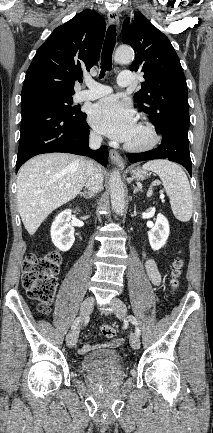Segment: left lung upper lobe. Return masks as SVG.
Instances as JSON below:
<instances>
[{
    "label": "left lung upper lobe",
    "instance_id": "left-lung-upper-lobe-1",
    "mask_svg": "<svg viewBox=\"0 0 213 433\" xmlns=\"http://www.w3.org/2000/svg\"><path fill=\"white\" fill-rule=\"evenodd\" d=\"M122 41L135 51L130 69L144 72L146 80L134 95L138 107L151 116L157 131L178 127L188 132L186 79L169 39L137 12L130 25L129 19L125 20Z\"/></svg>",
    "mask_w": 213,
    "mask_h": 433
}]
</instances>
